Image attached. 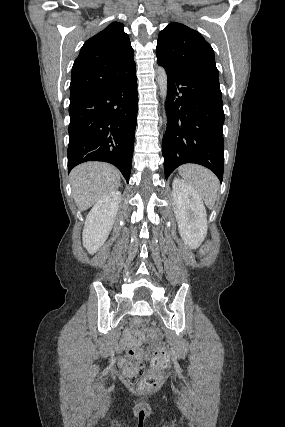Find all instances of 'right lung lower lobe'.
Here are the masks:
<instances>
[{
	"instance_id": "98d812e1",
	"label": "right lung lower lobe",
	"mask_w": 285,
	"mask_h": 427,
	"mask_svg": "<svg viewBox=\"0 0 285 427\" xmlns=\"http://www.w3.org/2000/svg\"><path fill=\"white\" fill-rule=\"evenodd\" d=\"M138 110L137 77L70 99L68 171L86 161L115 165L129 182Z\"/></svg>"
}]
</instances>
